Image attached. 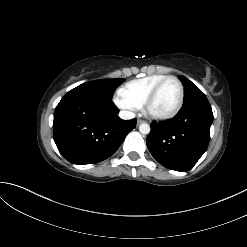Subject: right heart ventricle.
Listing matches in <instances>:
<instances>
[{
    "label": "right heart ventricle",
    "mask_w": 247,
    "mask_h": 247,
    "mask_svg": "<svg viewBox=\"0 0 247 247\" xmlns=\"http://www.w3.org/2000/svg\"><path fill=\"white\" fill-rule=\"evenodd\" d=\"M166 76L165 74H153L132 80L122 87L121 93L138 106H142L150 91Z\"/></svg>",
    "instance_id": "obj_1"
}]
</instances>
